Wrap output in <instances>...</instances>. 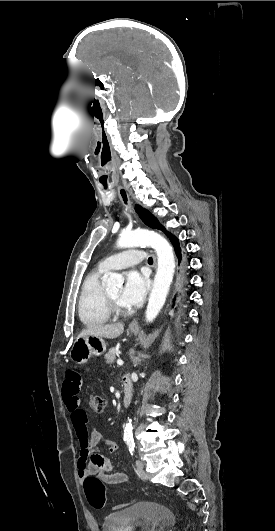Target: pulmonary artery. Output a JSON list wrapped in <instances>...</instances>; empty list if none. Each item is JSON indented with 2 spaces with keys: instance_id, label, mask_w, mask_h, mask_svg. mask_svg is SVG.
Wrapping results in <instances>:
<instances>
[{
  "instance_id": "obj_1",
  "label": "pulmonary artery",
  "mask_w": 275,
  "mask_h": 531,
  "mask_svg": "<svg viewBox=\"0 0 275 531\" xmlns=\"http://www.w3.org/2000/svg\"><path fill=\"white\" fill-rule=\"evenodd\" d=\"M147 256L148 253L146 251L140 250L137 246H131L124 253L110 254L107 261L100 262L99 269L101 272H110L114 268L113 272L118 274L126 265H141L145 263Z\"/></svg>"
}]
</instances>
